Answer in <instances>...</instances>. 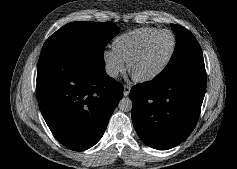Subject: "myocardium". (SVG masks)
<instances>
[{"label":"myocardium","mask_w":237,"mask_h":169,"mask_svg":"<svg viewBox=\"0 0 237 169\" xmlns=\"http://www.w3.org/2000/svg\"><path fill=\"white\" fill-rule=\"evenodd\" d=\"M162 33H168V34H170V36L172 38V47H171V51H170L169 55L164 60V62L158 68H156L155 70H153V71H151V72H149L145 75H136L132 70L133 64L142 56L143 52L148 47V45L157 36H159ZM175 50H176V39H175L174 34L171 31L167 30V29L159 30L156 33H154L152 36H150L145 42H143L142 45L137 49V51L132 55V57L129 59V61L127 63L128 71H129L130 75L132 76V78L137 82L150 81V80L157 77L160 73H162L164 71V69L168 66L171 59L173 58Z\"/></svg>","instance_id":"myocardium-1"}]
</instances>
